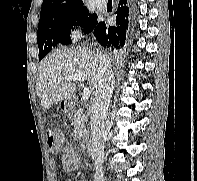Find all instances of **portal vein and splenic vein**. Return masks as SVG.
Instances as JSON below:
<instances>
[{
  "mask_svg": "<svg viewBox=\"0 0 197 181\" xmlns=\"http://www.w3.org/2000/svg\"><path fill=\"white\" fill-rule=\"evenodd\" d=\"M87 79V75L83 73L67 75L64 77H59L58 81H84ZM91 91L89 88L85 87L82 93V99L88 100L90 98Z\"/></svg>",
  "mask_w": 197,
  "mask_h": 181,
  "instance_id": "18ae733b",
  "label": "portal vein and splenic vein"
}]
</instances>
